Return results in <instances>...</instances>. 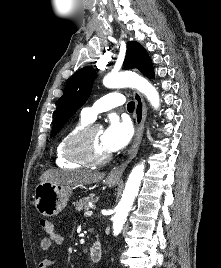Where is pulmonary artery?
Returning a JSON list of instances; mask_svg holds the SVG:
<instances>
[{"mask_svg":"<svg viewBox=\"0 0 221 268\" xmlns=\"http://www.w3.org/2000/svg\"><path fill=\"white\" fill-rule=\"evenodd\" d=\"M124 96L120 93H109L100 98L93 106L82 109L81 116L90 122L94 121L101 112L110 110L124 103Z\"/></svg>","mask_w":221,"mask_h":268,"instance_id":"e3ab8cb5","label":"pulmonary artery"}]
</instances>
